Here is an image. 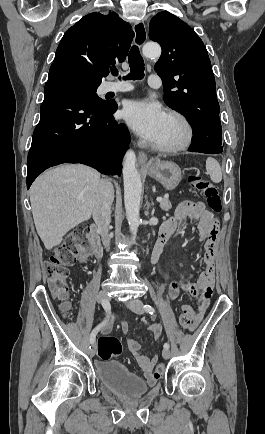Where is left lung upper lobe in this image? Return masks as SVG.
<instances>
[{
    "label": "left lung upper lobe",
    "instance_id": "5c2ea615",
    "mask_svg": "<svg viewBox=\"0 0 265 434\" xmlns=\"http://www.w3.org/2000/svg\"><path fill=\"white\" fill-rule=\"evenodd\" d=\"M149 37L162 48L155 71L163 80L165 103L187 118L193 134L222 139L215 78L202 40L168 11L151 19Z\"/></svg>",
    "mask_w": 265,
    "mask_h": 434
}]
</instances>
